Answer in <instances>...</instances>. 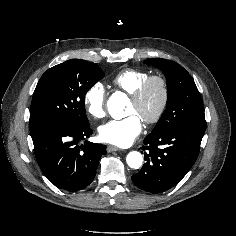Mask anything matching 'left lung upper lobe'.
Here are the masks:
<instances>
[{"instance_id": "5c2ea615", "label": "left lung upper lobe", "mask_w": 236, "mask_h": 236, "mask_svg": "<svg viewBox=\"0 0 236 236\" xmlns=\"http://www.w3.org/2000/svg\"><path fill=\"white\" fill-rule=\"evenodd\" d=\"M144 62L158 67L167 78V108L151 133L174 128L205 131L203 102L191 75L174 61L154 58Z\"/></svg>"}]
</instances>
